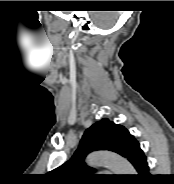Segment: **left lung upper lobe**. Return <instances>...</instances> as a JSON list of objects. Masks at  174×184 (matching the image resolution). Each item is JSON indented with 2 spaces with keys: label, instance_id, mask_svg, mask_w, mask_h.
I'll use <instances>...</instances> for the list:
<instances>
[{
  "label": "left lung upper lobe",
  "instance_id": "1",
  "mask_svg": "<svg viewBox=\"0 0 174 184\" xmlns=\"http://www.w3.org/2000/svg\"><path fill=\"white\" fill-rule=\"evenodd\" d=\"M137 140L122 125L104 118L88 128L72 158L50 172L57 183L77 184L99 178L95 170L86 166V155L96 150H109L127 157Z\"/></svg>",
  "mask_w": 174,
  "mask_h": 184
}]
</instances>
